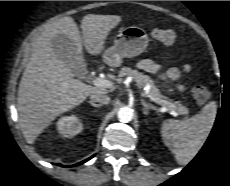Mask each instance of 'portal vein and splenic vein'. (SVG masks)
Instances as JSON below:
<instances>
[{
  "label": "portal vein and splenic vein",
  "instance_id": "obj_1",
  "mask_svg": "<svg viewBox=\"0 0 230 186\" xmlns=\"http://www.w3.org/2000/svg\"><path fill=\"white\" fill-rule=\"evenodd\" d=\"M93 84L100 88H111L113 86L112 82L105 80V79H101V78H94ZM147 97H149L153 102L159 105L166 106V108L169 110H172V111L175 110V106L173 104H169L166 101L156 98L153 95H151L149 92L147 93Z\"/></svg>",
  "mask_w": 230,
  "mask_h": 186
}]
</instances>
